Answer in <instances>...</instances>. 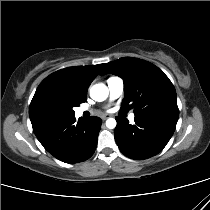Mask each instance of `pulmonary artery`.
<instances>
[{
	"mask_svg": "<svg viewBox=\"0 0 210 210\" xmlns=\"http://www.w3.org/2000/svg\"><path fill=\"white\" fill-rule=\"evenodd\" d=\"M107 87L109 90L110 98L116 99L122 95L124 90V82L120 77H111L107 80ZM88 108L81 107L78 109V114H82L87 111ZM135 118L134 114H130L129 119L133 121Z\"/></svg>",
	"mask_w": 210,
	"mask_h": 210,
	"instance_id": "obj_1",
	"label": "pulmonary artery"
}]
</instances>
